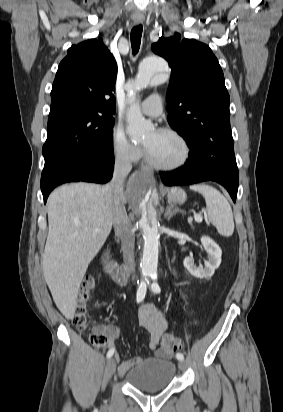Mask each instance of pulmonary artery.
Returning <instances> with one entry per match:
<instances>
[{"mask_svg": "<svg viewBox=\"0 0 283 412\" xmlns=\"http://www.w3.org/2000/svg\"><path fill=\"white\" fill-rule=\"evenodd\" d=\"M163 99L160 95H151L141 104L143 114L150 117H157L162 113Z\"/></svg>", "mask_w": 283, "mask_h": 412, "instance_id": "1", "label": "pulmonary artery"}]
</instances>
